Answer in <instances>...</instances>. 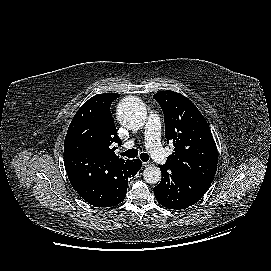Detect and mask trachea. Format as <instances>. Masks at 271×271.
Returning <instances> with one entry per match:
<instances>
[{
    "label": "trachea",
    "mask_w": 271,
    "mask_h": 271,
    "mask_svg": "<svg viewBox=\"0 0 271 271\" xmlns=\"http://www.w3.org/2000/svg\"><path fill=\"white\" fill-rule=\"evenodd\" d=\"M122 156H126L128 158H135L138 155L137 149H129L125 151L124 153H121ZM140 159L144 162H147L149 160V155L147 153H141Z\"/></svg>",
    "instance_id": "obj_1"
}]
</instances>
